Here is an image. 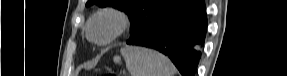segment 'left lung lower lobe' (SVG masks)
I'll return each mask as SVG.
<instances>
[{"instance_id":"obj_1","label":"left lung lower lobe","mask_w":287,"mask_h":76,"mask_svg":"<svg viewBox=\"0 0 287 76\" xmlns=\"http://www.w3.org/2000/svg\"><path fill=\"white\" fill-rule=\"evenodd\" d=\"M207 17L203 0H184L154 19L127 44L153 48L167 55L182 76H194L200 47L205 40Z\"/></svg>"}]
</instances>
